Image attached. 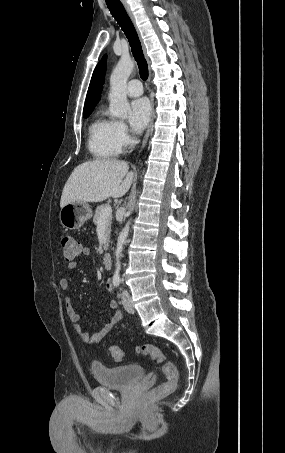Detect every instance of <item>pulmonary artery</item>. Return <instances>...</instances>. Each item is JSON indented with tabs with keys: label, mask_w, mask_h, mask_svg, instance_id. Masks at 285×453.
<instances>
[{
	"label": "pulmonary artery",
	"mask_w": 285,
	"mask_h": 453,
	"mask_svg": "<svg viewBox=\"0 0 285 453\" xmlns=\"http://www.w3.org/2000/svg\"><path fill=\"white\" fill-rule=\"evenodd\" d=\"M126 93L130 97H137L142 95L143 93L142 83L138 79L130 80L126 87Z\"/></svg>",
	"instance_id": "pulmonary-artery-1"
}]
</instances>
